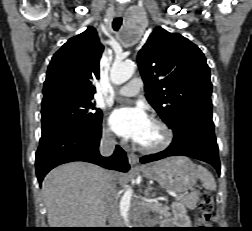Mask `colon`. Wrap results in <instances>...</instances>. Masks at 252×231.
<instances>
[{"label": "colon", "mask_w": 252, "mask_h": 231, "mask_svg": "<svg viewBox=\"0 0 252 231\" xmlns=\"http://www.w3.org/2000/svg\"><path fill=\"white\" fill-rule=\"evenodd\" d=\"M214 207L213 196L210 191H203L198 199L199 217L201 222L210 221Z\"/></svg>", "instance_id": "colon-1"}]
</instances>
